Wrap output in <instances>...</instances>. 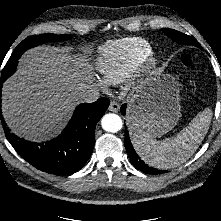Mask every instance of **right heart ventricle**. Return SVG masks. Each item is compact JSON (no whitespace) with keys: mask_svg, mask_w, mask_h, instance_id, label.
<instances>
[{"mask_svg":"<svg viewBox=\"0 0 221 221\" xmlns=\"http://www.w3.org/2000/svg\"><path fill=\"white\" fill-rule=\"evenodd\" d=\"M150 50V43L140 37L108 42L98 51L97 70L105 83H122L136 71Z\"/></svg>","mask_w":221,"mask_h":221,"instance_id":"e07e8e85","label":"right heart ventricle"}]
</instances>
